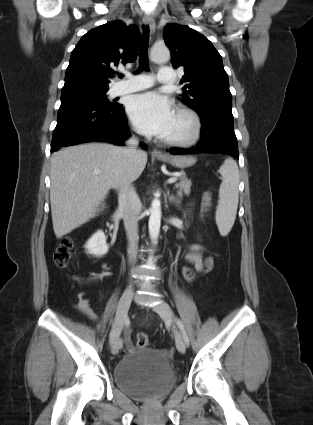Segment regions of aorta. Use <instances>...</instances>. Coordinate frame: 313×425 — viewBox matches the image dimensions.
I'll return each instance as SVG.
<instances>
[{
	"label": "aorta",
	"instance_id": "762f6f07",
	"mask_svg": "<svg viewBox=\"0 0 313 425\" xmlns=\"http://www.w3.org/2000/svg\"><path fill=\"white\" fill-rule=\"evenodd\" d=\"M151 59L154 62H167L170 59V51L166 46H154L151 49ZM161 225V203L155 199L150 208L149 217V235L153 242H156L160 232Z\"/></svg>",
	"mask_w": 313,
	"mask_h": 425
}]
</instances>
